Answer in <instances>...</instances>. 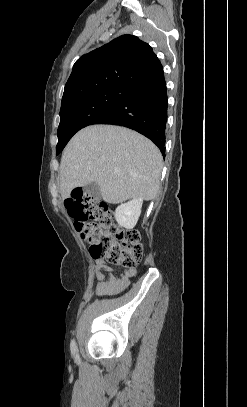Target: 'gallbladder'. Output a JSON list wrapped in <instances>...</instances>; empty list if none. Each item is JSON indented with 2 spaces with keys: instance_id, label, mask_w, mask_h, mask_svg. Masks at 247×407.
<instances>
[{
  "instance_id": "obj_1",
  "label": "gallbladder",
  "mask_w": 247,
  "mask_h": 407,
  "mask_svg": "<svg viewBox=\"0 0 247 407\" xmlns=\"http://www.w3.org/2000/svg\"><path fill=\"white\" fill-rule=\"evenodd\" d=\"M83 190L84 194L94 198L95 200L99 201L101 199L99 187L95 182L87 184L86 186H84Z\"/></svg>"
}]
</instances>
